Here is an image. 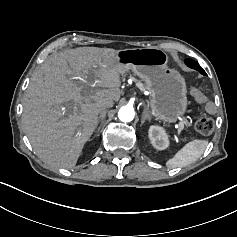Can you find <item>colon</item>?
Here are the masks:
<instances>
[{"label":"colon","mask_w":237,"mask_h":237,"mask_svg":"<svg viewBox=\"0 0 237 237\" xmlns=\"http://www.w3.org/2000/svg\"><path fill=\"white\" fill-rule=\"evenodd\" d=\"M191 93L198 102L204 104L206 110L213 111L215 109V104L211 101H208L201 90L192 88ZM214 127L215 121L209 116H200L195 122L196 131L202 135H208L212 133Z\"/></svg>","instance_id":"obj_1"}]
</instances>
